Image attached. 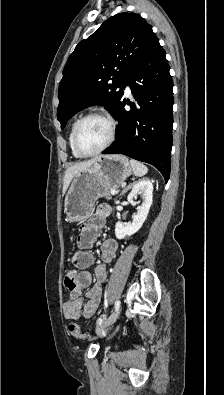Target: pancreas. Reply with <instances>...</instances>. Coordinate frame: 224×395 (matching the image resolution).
I'll use <instances>...</instances> for the list:
<instances>
[{"label":"pancreas","mask_w":224,"mask_h":395,"mask_svg":"<svg viewBox=\"0 0 224 395\" xmlns=\"http://www.w3.org/2000/svg\"><path fill=\"white\" fill-rule=\"evenodd\" d=\"M110 191L111 190H108V191H106L105 193H104V197L106 198V199H111L112 198V194L110 193Z\"/></svg>","instance_id":"pancreas-1"}]
</instances>
